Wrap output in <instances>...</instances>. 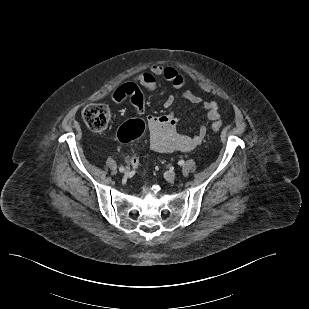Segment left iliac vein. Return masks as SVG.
<instances>
[{
	"label": "left iliac vein",
	"mask_w": 309,
	"mask_h": 309,
	"mask_svg": "<svg viewBox=\"0 0 309 309\" xmlns=\"http://www.w3.org/2000/svg\"><path fill=\"white\" fill-rule=\"evenodd\" d=\"M164 176L167 181L172 182L176 178V173L174 171H167Z\"/></svg>",
	"instance_id": "4c4485c4"
}]
</instances>
